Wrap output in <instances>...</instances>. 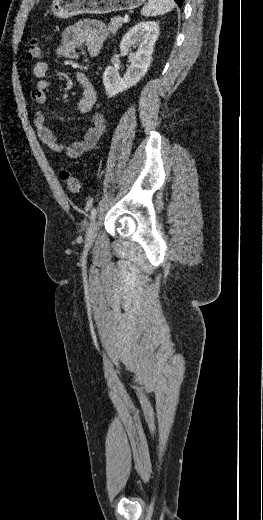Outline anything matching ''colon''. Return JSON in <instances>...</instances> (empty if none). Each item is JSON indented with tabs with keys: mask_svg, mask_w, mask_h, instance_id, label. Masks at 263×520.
I'll return each instance as SVG.
<instances>
[{
	"mask_svg": "<svg viewBox=\"0 0 263 520\" xmlns=\"http://www.w3.org/2000/svg\"><path fill=\"white\" fill-rule=\"evenodd\" d=\"M42 56V45L37 39H32L28 44L27 58L29 60H37ZM60 179L66 185L70 193H79L81 191V182L72 175L68 170L62 169L59 172Z\"/></svg>",
	"mask_w": 263,
	"mask_h": 520,
	"instance_id": "colon-1",
	"label": "colon"
}]
</instances>
